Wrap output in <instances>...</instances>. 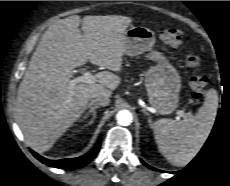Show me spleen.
I'll use <instances>...</instances> for the list:
<instances>
[{
  "mask_svg": "<svg viewBox=\"0 0 230 186\" xmlns=\"http://www.w3.org/2000/svg\"><path fill=\"white\" fill-rule=\"evenodd\" d=\"M217 108V91L210 89L195 117L180 122L160 119L153 124L158 149L172 165L186 166L197 155L212 130Z\"/></svg>",
  "mask_w": 230,
  "mask_h": 186,
  "instance_id": "obj_1",
  "label": "spleen"
}]
</instances>
